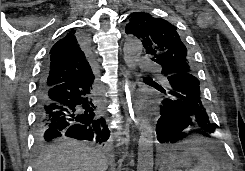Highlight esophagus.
Here are the masks:
<instances>
[{
	"instance_id": "34e87169",
	"label": "esophagus",
	"mask_w": 245,
	"mask_h": 171,
	"mask_svg": "<svg viewBox=\"0 0 245 171\" xmlns=\"http://www.w3.org/2000/svg\"><path fill=\"white\" fill-rule=\"evenodd\" d=\"M122 103L131 125L139 127L141 118L138 106L134 99V84L130 80L129 73L126 69H124V98Z\"/></svg>"
}]
</instances>
